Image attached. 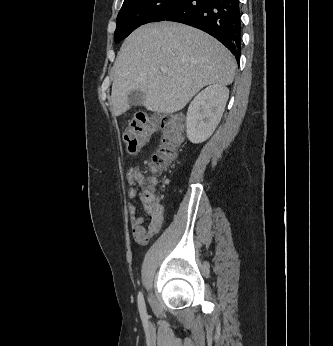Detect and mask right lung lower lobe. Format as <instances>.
<instances>
[{"label": "right lung lower lobe", "mask_w": 333, "mask_h": 346, "mask_svg": "<svg viewBox=\"0 0 333 346\" xmlns=\"http://www.w3.org/2000/svg\"><path fill=\"white\" fill-rule=\"evenodd\" d=\"M203 30L224 44L238 61L241 55L239 0H183L165 19Z\"/></svg>", "instance_id": "1"}]
</instances>
